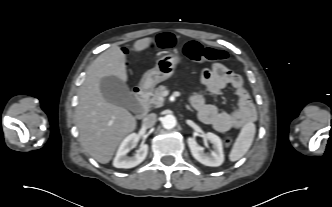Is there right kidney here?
<instances>
[{
  "instance_id": "ca27d5eb",
  "label": "right kidney",
  "mask_w": 332,
  "mask_h": 207,
  "mask_svg": "<svg viewBox=\"0 0 332 207\" xmlns=\"http://www.w3.org/2000/svg\"><path fill=\"white\" fill-rule=\"evenodd\" d=\"M138 140L139 136L136 133H132L122 141L113 160L114 167L133 168L145 160L148 153L147 144L141 145L134 156H127V153L136 145Z\"/></svg>"
}]
</instances>
